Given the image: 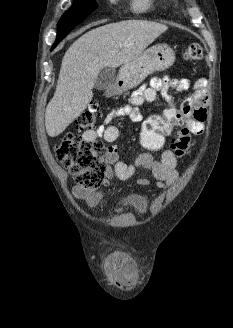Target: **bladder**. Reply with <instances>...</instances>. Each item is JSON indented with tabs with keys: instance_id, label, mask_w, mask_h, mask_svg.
<instances>
[{
	"instance_id": "obj_1",
	"label": "bladder",
	"mask_w": 233,
	"mask_h": 328,
	"mask_svg": "<svg viewBox=\"0 0 233 328\" xmlns=\"http://www.w3.org/2000/svg\"><path fill=\"white\" fill-rule=\"evenodd\" d=\"M126 204L137 210H143L147 205V199L141 194H133L126 198Z\"/></svg>"
}]
</instances>
